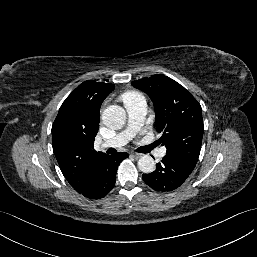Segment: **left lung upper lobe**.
<instances>
[{"label":"left lung upper lobe","mask_w":257,"mask_h":257,"mask_svg":"<svg viewBox=\"0 0 257 257\" xmlns=\"http://www.w3.org/2000/svg\"><path fill=\"white\" fill-rule=\"evenodd\" d=\"M131 84L153 101L156 130L163 133L160 142L167 148L166 155L195 167L204 131L202 108L197 100L164 75H153Z\"/></svg>","instance_id":"1"}]
</instances>
